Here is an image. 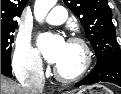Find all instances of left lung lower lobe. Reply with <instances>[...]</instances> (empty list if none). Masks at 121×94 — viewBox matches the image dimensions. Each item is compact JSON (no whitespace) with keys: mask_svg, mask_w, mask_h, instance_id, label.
<instances>
[{"mask_svg":"<svg viewBox=\"0 0 121 94\" xmlns=\"http://www.w3.org/2000/svg\"><path fill=\"white\" fill-rule=\"evenodd\" d=\"M98 82H110L121 86V59H108L100 61L94 69L75 87L92 85Z\"/></svg>","mask_w":121,"mask_h":94,"instance_id":"left-lung-lower-lobe-1","label":"left lung lower lobe"}]
</instances>
